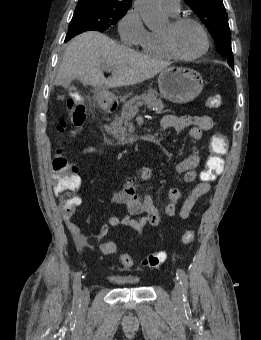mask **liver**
Masks as SVG:
<instances>
[{
  "label": "liver",
  "mask_w": 261,
  "mask_h": 340,
  "mask_svg": "<svg viewBox=\"0 0 261 340\" xmlns=\"http://www.w3.org/2000/svg\"><path fill=\"white\" fill-rule=\"evenodd\" d=\"M168 65L119 45L102 33L88 31L68 44L55 85L70 84L77 78L84 85L94 87L130 86L153 78ZM106 68H112L111 77L105 78Z\"/></svg>",
  "instance_id": "obj_1"
}]
</instances>
